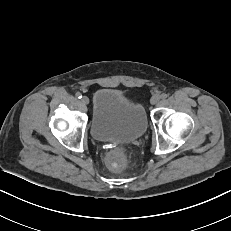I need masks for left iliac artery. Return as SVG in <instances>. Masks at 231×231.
<instances>
[{
	"label": "left iliac artery",
	"instance_id": "left-iliac-artery-1",
	"mask_svg": "<svg viewBox=\"0 0 231 231\" xmlns=\"http://www.w3.org/2000/svg\"><path fill=\"white\" fill-rule=\"evenodd\" d=\"M160 97H161L162 99H165V98L168 97V95H167L166 93H163V94L160 95Z\"/></svg>",
	"mask_w": 231,
	"mask_h": 231
}]
</instances>
